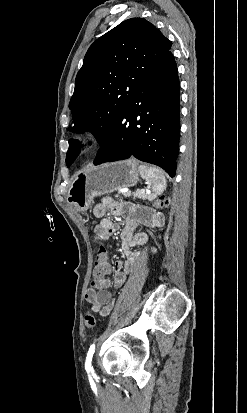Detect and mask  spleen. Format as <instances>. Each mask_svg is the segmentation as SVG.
<instances>
[{
	"label": "spleen",
	"instance_id": "obj_1",
	"mask_svg": "<svg viewBox=\"0 0 247 413\" xmlns=\"http://www.w3.org/2000/svg\"><path fill=\"white\" fill-rule=\"evenodd\" d=\"M139 170L142 178H145L147 182L152 184L154 194H161L164 188H166V178L163 176L161 168H156V166L147 168L145 164H140Z\"/></svg>",
	"mask_w": 247,
	"mask_h": 413
}]
</instances>
